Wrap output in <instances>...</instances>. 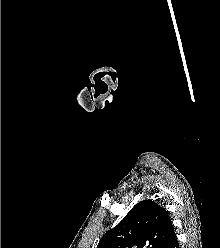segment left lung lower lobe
<instances>
[{"instance_id": "1", "label": "left lung lower lobe", "mask_w": 220, "mask_h": 248, "mask_svg": "<svg viewBox=\"0 0 220 248\" xmlns=\"http://www.w3.org/2000/svg\"><path fill=\"white\" fill-rule=\"evenodd\" d=\"M164 248H179V243L177 241L175 233L172 235V237L167 242V244L164 246Z\"/></svg>"}]
</instances>
